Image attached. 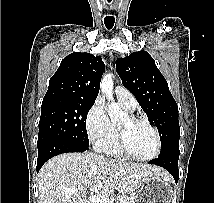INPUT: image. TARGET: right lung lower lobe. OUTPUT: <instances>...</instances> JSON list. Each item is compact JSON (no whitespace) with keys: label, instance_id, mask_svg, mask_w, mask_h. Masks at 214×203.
Wrapping results in <instances>:
<instances>
[{"label":"right lung lower lobe","instance_id":"obj_1","mask_svg":"<svg viewBox=\"0 0 214 203\" xmlns=\"http://www.w3.org/2000/svg\"><path fill=\"white\" fill-rule=\"evenodd\" d=\"M89 147L72 144L64 141H54L47 143L38 149L37 172L42 165L50 158L67 152H84Z\"/></svg>","mask_w":214,"mask_h":203}]
</instances>
